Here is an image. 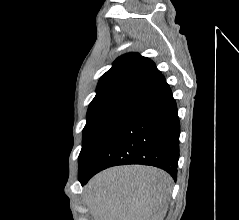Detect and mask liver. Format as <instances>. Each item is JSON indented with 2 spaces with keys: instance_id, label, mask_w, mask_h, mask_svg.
<instances>
[{
  "instance_id": "6515ba94",
  "label": "liver",
  "mask_w": 239,
  "mask_h": 220,
  "mask_svg": "<svg viewBox=\"0 0 239 220\" xmlns=\"http://www.w3.org/2000/svg\"><path fill=\"white\" fill-rule=\"evenodd\" d=\"M85 191L94 220H163L172 178L154 167L117 166L94 176Z\"/></svg>"
}]
</instances>
